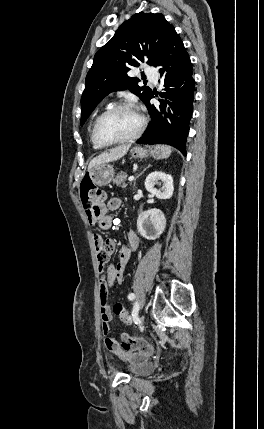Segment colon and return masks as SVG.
I'll list each match as a JSON object with an SVG mask.
<instances>
[{
	"mask_svg": "<svg viewBox=\"0 0 264 429\" xmlns=\"http://www.w3.org/2000/svg\"><path fill=\"white\" fill-rule=\"evenodd\" d=\"M81 200L88 214H94L98 211L99 206L104 203L105 194L103 190L95 186L89 179L82 181L80 186ZM114 314L125 324H131L132 319L128 309L121 303L113 306ZM121 346L126 350H143L145 341L141 338H130L126 334L121 335Z\"/></svg>",
	"mask_w": 264,
	"mask_h": 429,
	"instance_id": "1",
	"label": "colon"
}]
</instances>
